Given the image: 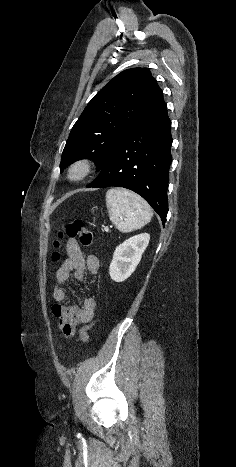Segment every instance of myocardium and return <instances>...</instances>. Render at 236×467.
I'll use <instances>...</instances> for the list:
<instances>
[{
    "mask_svg": "<svg viewBox=\"0 0 236 467\" xmlns=\"http://www.w3.org/2000/svg\"><path fill=\"white\" fill-rule=\"evenodd\" d=\"M94 168L95 163L91 158H78L67 167L66 179L71 183L82 182L92 174Z\"/></svg>",
    "mask_w": 236,
    "mask_h": 467,
    "instance_id": "f54148a6",
    "label": "myocardium"
}]
</instances>
